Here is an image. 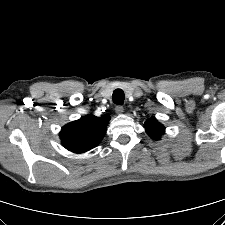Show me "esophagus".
<instances>
[{
    "mask_svg": "<svg viewBox=\"0 0 225 225\" xmlns=\"http://www.w3.org/2000/svg\"><path fill=\"white\" fill-rule=\"evenodd\" d=\"M115 111H116L117 114H122L124 112V108L121 105H117L115 107Z\"/></svg>",
    "mask_w": 225,
    "mask_h": 225,
    "instance_id": "1",
    "label": "esophagus"
}]
</instances>
